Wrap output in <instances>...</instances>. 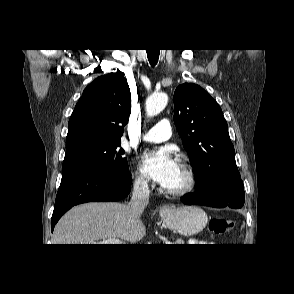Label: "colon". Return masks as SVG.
<instances>
[{
  "mask_svg": "<svg viewBox=\"0 0 294 294\" xmlns=\"http://www.w3.org/2000/svg\"><path fill=\"white\" fill-rule=\"evenodd\" d=\"M235 227V223L231 220L223 218L211 219L208 225L209 230L217 235L230 232Z\"/></svg>",
  "mask_w": 294,
  "mask_h": 294,
  "instance_id": "1",
  "label": "colon"
}]
</instances>
